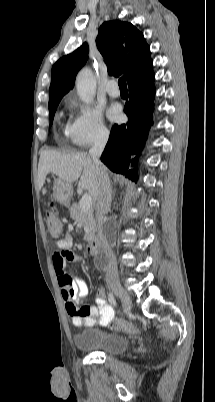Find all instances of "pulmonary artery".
<instances>
[{
    "mask_svg": "<svg viewBox=\"0 0 215 402\" xmlns=\"http://www.w3.org/2000/svg\"><path fill=\"white\" fill-rule=\"evenodd\" d=\"M105 88L107 93L112 97H118L120 95V90L115 80H109Z\"/></svg>",
    "mask_w": 215,
    "mask_h": 402,
    "instance_id": "obj_1",
    "label": "pulmonary artery"
}]
</instances>
